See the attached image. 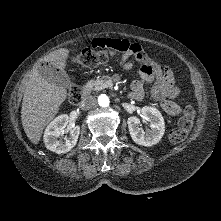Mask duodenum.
I'll return each mask as SVG.
<instances>
[{
	"label": "duodenum",
	"mask_w": 221,
	"mask_h": 221,
	"mask_svg": "<svg viewBox=\"0 0 221 221\" xmlns=\"http://www.w3.org/2000/svg\"><path fill=\"white\" fill-rule=\"evenodd\" d=\"M88 94H89V87L87 85H84L80 92L81 98H85ZM128 97L130 99H134V95L132 93H130Z\"/></svg>",
	"instance_id": "obj_1"
}]
</instances>
